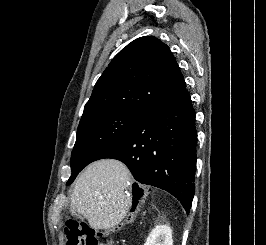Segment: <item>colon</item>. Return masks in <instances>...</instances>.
Segmentation results:
<instances>
[{"mask_svg": "<svg viewBox=\"0 0 266 245\" xmlns=\"http://www.w3.org/2000/svg\"><path fill=\"white\" fill-rule=\"evenodd\" d=\"M66 245H113L112 242H102L103 233L95 230L86 223L69 220L64 227Z\"/></svg>", "mask_w": 266, "mask_h": 245, "instance_id": "1", "label": "colon"}]
</instances>
